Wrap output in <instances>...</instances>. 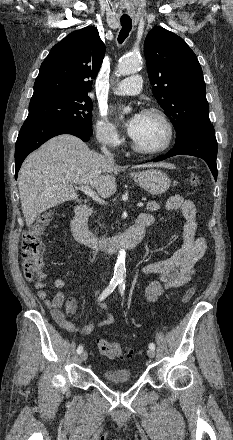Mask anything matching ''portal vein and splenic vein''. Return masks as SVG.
<instances>
[{
	"instance_id": "1",
	"label": "portal vein and splenic vein",
	"mask_w": 233,
	"mask_h": 440,
	"mask_svg": "<svg viewBox=\"0 0 233 440\" xmlns=\"http://www.w3.org/2000/svg\"><path fill=\"white\" fill-rule=\"evenodd\" d=\"M79 189H80L82 192H84L86 195H88L89 197H91L93 200H95V201H97V202H99V203H101V204H104V203H105V201L102 200V199L98 196V194H97L96 192H94V191L90 188V186H89L88 184H85V185L80 186ZM137 206H138V207H143L144 204H143L142 202H139V203L137 204Z\"/></svg>"
}]
</instances>
